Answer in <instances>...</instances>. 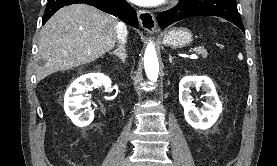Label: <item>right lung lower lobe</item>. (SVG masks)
<instances>
[{
  "label": "right lung lower lobe",
  "instance_id": "right-lung-lower-lobe-1",
  "mask_svg": "<svg viewBox=\"0 0 277 166\" xmlns=\"http://www.w3.org/2000/svg\"><path fill=\"white\" fill-rule=\"evenodd\" d=\"M77 3H85L114 16H118L122 21L135 28H138L139 26L134 8L125 0H48L42 24H45L46 21L61 7Z\"/></svg>",
  "mask_w": 277,
  "mask_h": 166
}]
</instances>
